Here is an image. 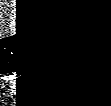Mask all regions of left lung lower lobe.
<instances>
[{
  "instance_id": "0a47b994",
  "label": "left lung lower lobe",
  "mask_w": 111,
  "mask_h": 106,
  "mask_svg": "<svg viewBox=\"0 0 111 106\" xmlns=\"http://www.w3.org/2000/svg\"><path fill=\"white\" fill-rule=\"evenodd\" d=\"M67 11L73 41L80 55L100 69L111 70V0H76Z\"/></svg>"
}]
</instances>
